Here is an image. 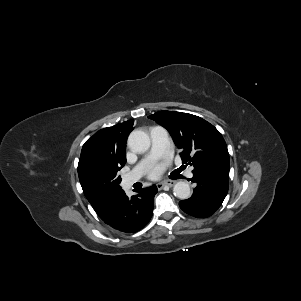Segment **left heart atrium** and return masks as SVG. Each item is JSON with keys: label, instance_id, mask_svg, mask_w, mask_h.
I'll return each mask as SVG.
<instances>
[{"label": "left heart atrium", "instance_id": "left-heart-atrium-1", "mask_svg": "<svg viewBox=\"0 0 301 301\" xmlns=\"http://www.w3.org/2000/svg\"><path fill=\"white\" fill-rule=\"evenodd\" d=\"M164 169L165 164L163 163L152 164L149 166L147 174L150 178L155 179L164 171Z\"/></svg>", "mask_w": 301, "mask_h": 301}]
</instances>
